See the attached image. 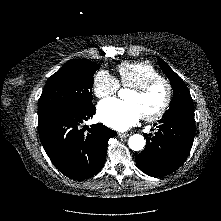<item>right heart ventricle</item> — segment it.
I'll use <instances>...</instances> for the list:
<instances>
[{"mask_svg": "<svg viewBox=\"0 0 221 221\" xmlns=\"http://www.w3.org/2000/svg\"><path fill=\"white\" fill-rule=\"evenodd\" d=\"M117 72L119 82L130 88L161 77L158 70L149 62H124L117 66Z\"/></svg>", "mask_w": 221, "mask_h": 221, "instance_id": "right-heart-ventricle-1", "label": "right heart ventricle"}]
</instances>
